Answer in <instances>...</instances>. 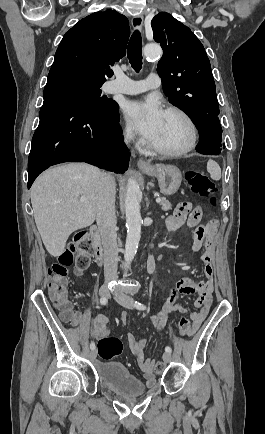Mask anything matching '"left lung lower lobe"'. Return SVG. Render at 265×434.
Here are the masks:
<instances>
[{"label":"left lung lower lobe","instance_id":"obj_1","mask_svg":"<svg viewBox=\"0 0 265 434\" xmlns=\"http://www.w3.org/2000/svg\"><path fill=\"white\" fill-rule=\"evenodd\" d=\"M223 146L214 143L211 139L200 138L196 151L205 155H219Z\"/></svg>","mask_w":265,"mask_h":434}]
</instances>
